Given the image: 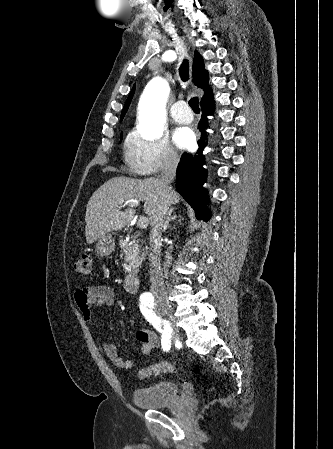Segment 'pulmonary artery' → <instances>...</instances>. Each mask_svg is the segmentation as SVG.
<instances>
[{"mask_svg": "<svg viewBox=\"0 0 333 449\" xmlns=\"http://www.w3.org/2000/svg\"><path fill=\"white\" fill-rule=\"evenodd\" d=\"M171 117L179 123H189L193 120V115L184 101H178L170 110Z\"/></svg>", "mask_w": 333, "mask_h": 449, "instance_id": "pulmonary-artery-1", "label": "pulmonary artery"}]
</instances>
